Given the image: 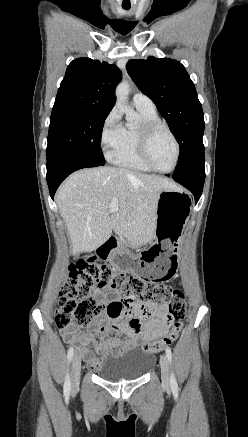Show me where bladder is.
<instances>
[{
  "label": "bladder",
  "mask_w": 248,
  "mask_h": 437,
  "mask_svg": "<svg viewBox=\"0 0 248 437\" xmlns=\"http://www.w3.org/2000/svg\"><path fill=\"white\" fill-rule=\"evenodd\" d=\"M154 362L152 354L134 349L109 359L98 375L109 382L132 381L146 375Z\"/></svg>",
  "instance_id": "31cf9c89"
}]
</instances>
